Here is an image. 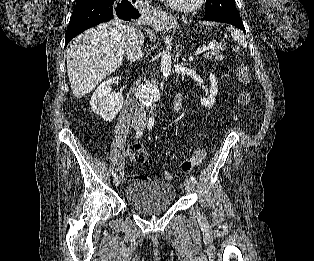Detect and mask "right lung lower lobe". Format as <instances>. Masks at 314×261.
I'll use <instances>...</instances> for the list:
<instances>
[{
    "label": "right lung lower lobe",
    "instance_id": "obj_1",
    "mask_svg": "<svg viewBox=\"0 0 314 261\" xmlns=\"http://www.w3.org/2000/svg\"><path fill=\"white\" fill-rule=\"evenodd\" d=\"M114 16L130 20L138 18L140 14L128 0H87L76 4L67 27L65 46L76 35L97 24L107 22Z\"/></svg>",
    "mask_w": 314,
    "mask_h": 261
}]
</instances>
